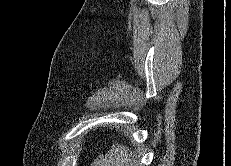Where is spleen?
<instances>
[{"label":"spleen","mask_w":231,"mask_h":166,"mask_svg":"<svg viewBox=\"0 0 231 166\" xmlns=\"http://www.w3.org/2000/svg\"><path fill=\"white\" fill-rule=\"evenodd\" d=\"M137 156L124 145L113 143L106 155H99L93 166H139Z\"/></svg>","instance_id":"1"}]
</instances>
